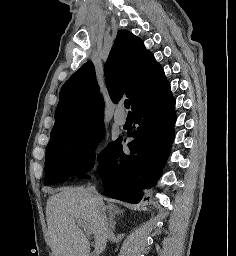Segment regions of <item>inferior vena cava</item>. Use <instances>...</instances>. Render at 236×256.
Masks as SVG:
<instances>
[{"label": "inferior vena cava", "instance_id": "obj_1", "mask_svg": "<svg viewBox=\"0 0 236 256\" xmlns=\"http://www.w3.org/2000/svg\"><path fill=\"white\" fill-rule=\"evenodd\" d=\"M88 190H89L90 194H92V196H97V198H99L98 192H97L95 186H91V188H88ZM107 226H108V224H107ZM106 234H110L109 230H106ZM107 238H108V236H107Z\"/></svg>", "mask_w": 236, "mask_h": 256}]
</instances>
